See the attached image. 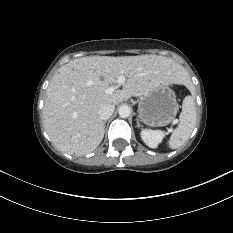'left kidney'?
Segmentation results:
<instances>
[{"label": "left kidney", "instance_id": "obj_1", "mask_svg": "<svg viewBox=\"0 0 233 233\" xmlns=\"http://www.w3.org/2000/svg\"><path fill=\"white\" fill-rule=\"evenodd\" d=\"M141 138L144 143L150 148H157L158 144L164 138V132L160 130L144 129L141 131Z\"/></svg>", "mask_w": 233, "mask_h": 233}]
</instances>
